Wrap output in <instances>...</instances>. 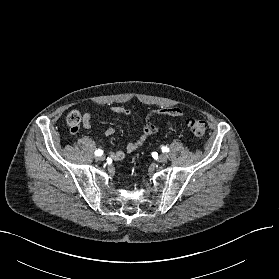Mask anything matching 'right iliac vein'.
Instances as JSON below:
<instances>
[{
	"instance_id": "63e3f726",
	"label": "right iliac vein",
	"mask_w": 279,
	"mask_h": 279,
	"mask_svg": "<svg viewBox=\"0 0 279 279\" xmlns=\"http://www.w3.org/2000/svg\"><path fill=\"white\" fill-rule=\"evenodd\" d=\"M96 160L97 161H103V160H105V156H98V157H96Z\"/></svg>"
}]
</instances>
